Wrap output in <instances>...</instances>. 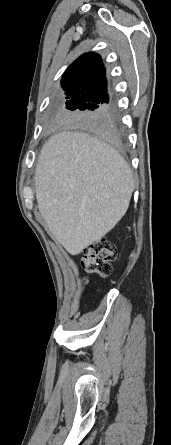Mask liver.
Segmentation results:
<instances>
[{"mask_svg":"<svg viewBox=\"0 0 171 445\" xmlns=\"http://www.w3.org/2000/svg\"><path fill=\"white\" fill-rule=\"evenodd\" d=\"M134 187L124 158L89 134L62 131L41 150L35 176L38 208L70 254L83 252L116 226Z\"/></svg>","mask_w":171,"mask_h":445,"instance_id":"1","label":"liver"}]
</instances>
